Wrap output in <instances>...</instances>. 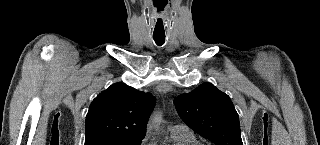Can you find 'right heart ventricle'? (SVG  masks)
Returning a JSON list of instances; mask_svg holds the SVG:
<instances>
[{
	"mask_svg": "<svg viewBox=\"0 0 320 145\" xmlns=\"http://www.w3.org/2000/svg\"><path fill=\"white\" fill-rule=\"evenodd\" d=\"M172 145H199V141L192 132H170Z\"/></svg>",
	"mask_w": 320,
	"mask_h": 145,
	"instance_id": "obj_1",
	"label": "right heart ventricle"
}]
</instances>
